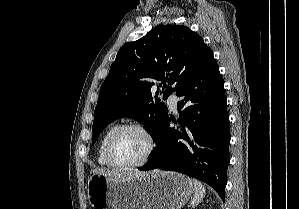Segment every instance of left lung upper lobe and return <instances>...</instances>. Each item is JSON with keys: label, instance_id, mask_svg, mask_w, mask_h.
<instances>
[{"label": "left lung upper lobe", "instance_id": "5c2ea615", "mask_svg": "<svg viewBox=\"0 0 299 209\" xmlns=\"http://www.w3.org/2000/svg\"><path fill=\"white\" fill-rule=\"evenodd\" d=\"M211 58L212 50L185 26L158 25L141 39L125 44L100 88L92 144L109 123L126 116L144 124L154 138L168 116L158 92L167 99ZM154 88L158 90L153 97Z\"/></svg>", "mask_w": 299, "mask_h": 209}]
</instances>
